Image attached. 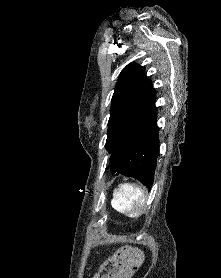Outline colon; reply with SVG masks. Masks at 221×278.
Returning <instances> with one entry per match:
<instances>
[{
  "instance_id": "1",
  "label": "colon",
  "mask_w": 221,
  "mask_h": 278,
  "mask_svg": "<svg viewBox=\"0 0 221 278\" xmlns=\"http://www.w3.org/2000/svg\"><path fill=\"white\" fill-rule=\"evenodd\" d=\"M139 264H140V261L134 263V264L131 266L130 271H135V270H137L138 267H139ZM122 276H123L122 278H125L124 275H122Z\"/></svg>"
}]
</instances>
